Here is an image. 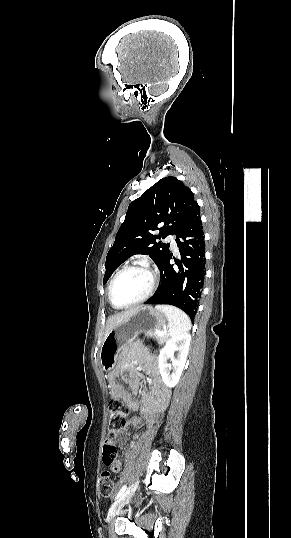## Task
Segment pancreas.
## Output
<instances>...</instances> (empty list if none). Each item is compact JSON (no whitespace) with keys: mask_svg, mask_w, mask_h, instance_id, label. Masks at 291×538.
<instances>
[{"mask_svg":"<svg viewBox=\"0 0 291 538\" xmlns=\"http://www.w3.org/2000/svg\"><path fill=\"white\" fill-rule=\"evenodd\" d=\"M147 335L155 336L159 344H163L168 339L167 334L158 335L156 332H150Z\"/></svg>","mask_w":291,"mask_h":538,"instance_id":"1","label":"pancreas"}]
</instances>
